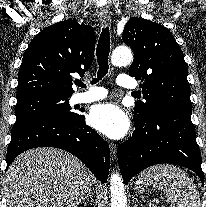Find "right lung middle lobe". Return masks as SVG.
I'll use <instances>...</instances> for the list:
<instances>
[{
    "label": "right lung middle lobe",
    "mask_w": 206,
    "mask_h": 207,
    "mask_svg": "<svg viewBox=\"0 0 206 207\" xmlns=\"http://www.w3.org/2000/svg\"><path fill=\"white\" fill-rule=\"evenodd\" d=\"M70 97L43 93L17 99L14 127L40 119L76 116L69 105Z\"/></svg>",
    "instance_id": "1"
}]
</instances>
